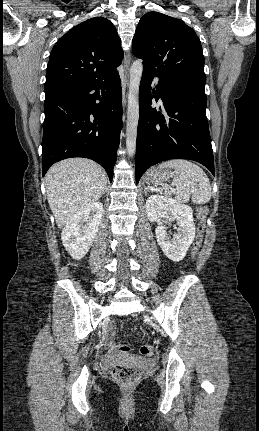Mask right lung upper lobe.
<instances>
[{
	"label": "right lung upper lobe",
	"mask_w": 259,
	"mask_h": 431,
	"mask_svg": "<svg viewBox=\"0 0 259 431\" xmlns=\"http://www.w3.org/2000/svg\"><path fill=\"white\" fill-rule=\"evenodd\" d=\"M123 51L114 25L94 17L73 27L54 45L45 92L68 85L107 79L117 73Z\"/></svg>",
	"instance_id": "obj_1"
}]
</instances>
